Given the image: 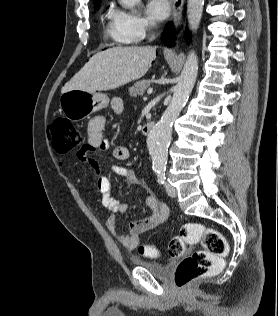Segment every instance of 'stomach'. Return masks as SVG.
<instances>
[{
    "instance_id": "obj_1",
    "label": "stomach",
    "mask_w": 278,
    "mask_h": 316,
    "mask_svg": "<svg viewBox=\"0 0 278 316\" xmlns=\"http://www.w3.org/2000/svg\"><path fill=\"white\" fill-rule=\"evenodd\" d=\"M108 105V96L98 92L70 90L60 96V110L71 121L82 120Z\"/></svg>"
}]
</instances>
